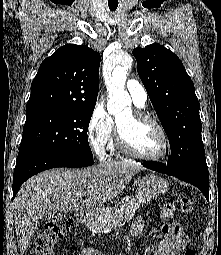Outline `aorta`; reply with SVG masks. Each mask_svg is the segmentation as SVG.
I'll list each match as a JSON object with an SVG mask.
<instances>
[{
	"label": "aorta",
	"instance_id": "762f6f07",
	"mask_svg": "<svg viewBox=\"0 0 221 255\" xmlns=\"http://www.w3.org/2000/svg\"><path fill=\"white\" fill-rule=\"evenodd\" d=\"M121 64H116L112 71H105L104 77L109 92L107 110L118 117L130 106L131 98L125 89L127 70L132 66L130 55L121 57Z\"/></svg>",
	"mask_w": 221,
	"mask_h": 255
}]
</instances>
